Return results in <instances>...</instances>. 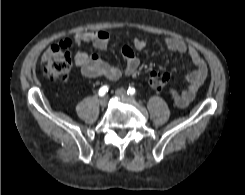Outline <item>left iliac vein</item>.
I'll list each match as a JSON object with an SVG mask.
<instances>
[{
	"label": "left iliac vein",
	"instance_id": "1",
	"mask_svg": "<svg viewBox=\"0 0 245 195\" xmlns=\"http://www.w3.org/2000/svg\"><path fill=\"white\" fill-rule=\"evenodd\" d=\"M115 93L118 97H124L132 101L134 100V98L129 96L124 89H117Z\"/></svg>",
	"mask_w": 245,
	"mask_h": 195
}]
</instances>
